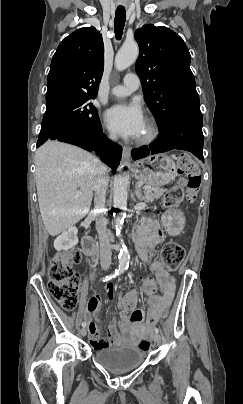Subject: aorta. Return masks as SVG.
Instances as JSON below:
<instances>
[{
  "instance_id": "762f6f07",
  "label": "aorta",
  "mask_w": 243,
  "mask_h": 404,
  "mask_svg": "<svg viewBox=\"0 0 243 404\" xmlns=\"http://www.w3.org/2000/svg\"><path fill=\"white\" fill-rule=\"evenodd\" d=\"M139 54L138 44L136 42H124L120 50H118L115 56V70L117 72H123L127 70L129 66H132L136 62ZM127 162H122L120 166L116 167V173L114 178V217H115V230L117 236H121V230L123 226V220L126 218L127 209V186L130 179L129 167ZM129 262V256L126 250H121L119 254V272H124Z\"/></svg>"
}]
</instances>
